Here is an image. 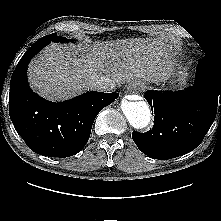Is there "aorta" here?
<instances>
[{
	"label": "aorta",
	"instance_id": "obj_1",
	"mask_svg": "<svg viewBox=\"0 0 221 221\" xmlns=\"http://www.w3.org/2000/svg\"><path fill=\"white\" fill-rule=\"evenodd\" d=\"M121 109L129 124L135 129H143L151 121V112L145 101H128L123 99Z\"/></svg>",
	"mask_w": 221,
	"mask_h": 221
}]
</instances>
